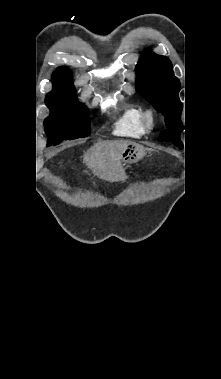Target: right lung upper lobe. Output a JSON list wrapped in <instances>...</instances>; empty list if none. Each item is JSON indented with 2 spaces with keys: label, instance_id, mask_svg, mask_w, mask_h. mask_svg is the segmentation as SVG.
<instances>
[{
  "label": "right lung upper lobe",
  "instance_id": "obj_1",
  "mask_svg": "<svg viewBox=\"0 0 221 379\" xmlns=\"http://www.w3.org/2000/svg\"><path fill=\"white\" fill-rule=\"evenodd\" d=\"M72 74L68 68L59 67L53 72V89L46 95L45 101H77L72 84Z\"/></svg>",
  "mask_w": 221,
  "mask_h": 379
}]
</instances>
